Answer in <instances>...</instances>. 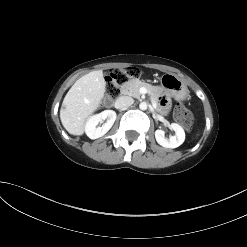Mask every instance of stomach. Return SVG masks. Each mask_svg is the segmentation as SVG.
<instances>
[{
	"label": "stomach",
	"mask_w": 247,
	"mask_h": 247,
	"mask_svg": "<svg viewBox=\"0 0 247 247\" xmlns=\"http://www.w3.org/2000/svg\"><path fill=\"white\" fill-rule=\"evenodd\" d=\"M161 85L175 100L181 101L188 97L187 86L173 74H164L161 77Z\"/></svg>",
	"instance_id": "0dacf381"
}]
</instances>
